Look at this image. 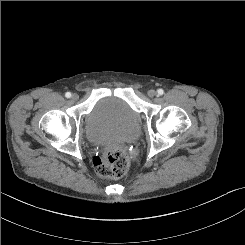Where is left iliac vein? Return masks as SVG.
<instances>
[{
    "label": "left iliac vein",
    "instance_id": "obj_1",
    "mask_svg": "<svg viewBox=\"0 0 245 245\" xmlns=\"http://www.w3.org/2000/svg\"><path fill=\"white\" fill-rule=\"evenodd\" d=\"M157 95V92L155 91V90H149L148 91V96L150 97V98H153V97H155Z\"/></svg>",
    "mask_w": 245,
    "mask_h": 245
}]
</instances>
